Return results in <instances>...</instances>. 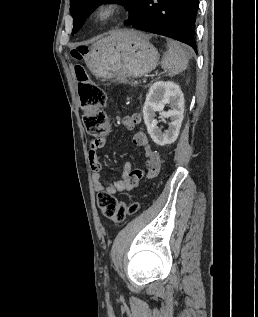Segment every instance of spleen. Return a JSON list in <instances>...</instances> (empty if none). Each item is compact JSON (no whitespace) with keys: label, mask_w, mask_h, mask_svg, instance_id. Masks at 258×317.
I'll use <instances>...</instances> for the list:
<instances>
[{"label":"spleen","mask_w":258,"mask_h":317,"mask_svg":"<svg viewBox=\"0 0 258 317\" xmlns=\"http://www.w3.org/2000/svg\"><path fill=\"white\" fill-rule=\"evenodd\" d=\"M168 46L169 48L164 54L163 60H161V66L162 68H168L169 74L174 76V74H178V72H182V70L187 68L188 60L192 56L193 50L190 46H187L185 50L175 40H169Z\"/></svg>","instance_id":"3e777b00"}]
</instances>
